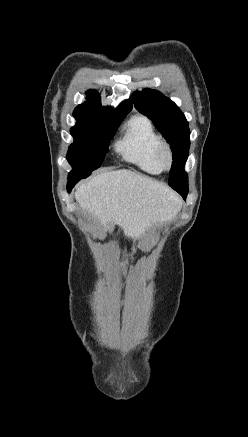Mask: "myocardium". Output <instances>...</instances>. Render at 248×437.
Returning <instances> with one entry per match:
<instances>
[{
  "label": "myocardium",
  "mask_w": 248,
  "mask_h": 437,
  "mask_svg": "<svg viewBox=\"0 0 248 437\" xmlns=\"http://www.w3.org/2000/svg\"><path fill=\"white\" fill-rule=\"evenodd\" d=\"M158 163L162 170L168 171L173 165V151L167 142L162 141L157 150Z\"/></svg>",
  "instance_id": "obj_1"
}]
</instances>
